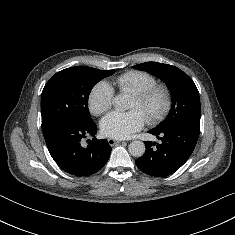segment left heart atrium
I'll return each mask as SVG.
<instances>
[{"label":"left heart atrium","instance_id":"39dd6f15","mask_svg":"<svg viewBox=\"0 0 235 235\" xmlns=\"http://www.w3.org/2000/svg\"><path fill=\"white\" fill-rule=\"evenodd\" d=\"M146 121L147 117L138 109L128 112L113 111L101 120L100 128L107 137L126 139L139 131Z\"/></svg>","mask_w":235,"mask_h":235}]
</instances>
